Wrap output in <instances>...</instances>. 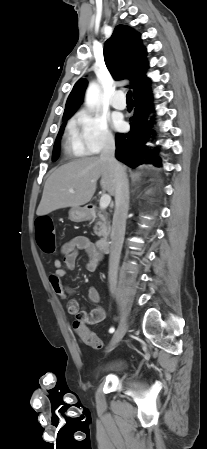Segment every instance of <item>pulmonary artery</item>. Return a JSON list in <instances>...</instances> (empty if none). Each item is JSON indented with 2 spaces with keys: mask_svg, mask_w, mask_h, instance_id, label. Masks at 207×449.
Returning a JSON list of instances; mask_svg holds the SVG:
<instances>
[{
  "mask_svg": "<svg viewBox=\"0 0 207 449\" xmlns=\"http://www.w3.org/2000/svg\"><path fill=\"white\" fill-rule=\"evenodd\" d=\"M110 102L116 109L122 110L126 107V100L122 91L115 92Z\"/></svg>",
  "mask_w": 207,
  "mask_h": 449,
  "instance_id": "pulmonary-artery-1",
  "label": "pulmonary artery"
}]
</instances>
